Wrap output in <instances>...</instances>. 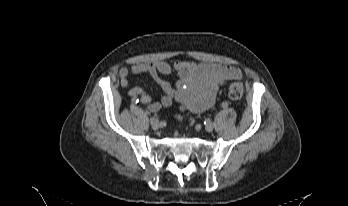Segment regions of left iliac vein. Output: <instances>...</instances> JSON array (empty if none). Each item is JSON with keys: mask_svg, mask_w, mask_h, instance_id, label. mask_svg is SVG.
I'll return each mask as SVG.
<instances>
[{"mask_svg": "<svg viewBox=\"0 0 348 206\" xmlns=\"http://www.w3.org/2000/svg\"><path fill=\"white\" fill-rule=\"evenodd\" d=\"M214 129V124L212 122H207L205 125V130L207 132H212Z\"/></svg>", "mask_w": 348, "mask_h": 206, "instance_id": "1", "label": "left iliac vein"}]
</instances>
